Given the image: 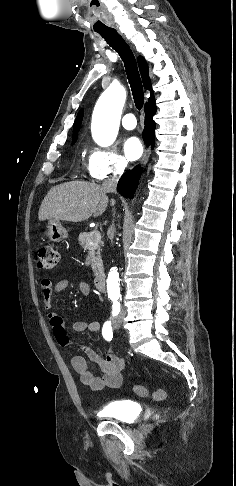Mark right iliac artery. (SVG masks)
Listing matches in <instances>:
<instances>
[{
    "label": "right iliac artery",
    "instance_id": "82829eb1",
    "mask_svg": "<svg viewBox=\"0 0 236 486\" xmlns=\"http://www.w3.org/2000/svg\"><path fill=\"white\" fill-rule=\"evenodd\" d=\"M120 306L117 302H114L113 304V311L112 315L116 316L119 313ZM102 335L107 341H111L113 338V331H112V325L111 321H106L103 325L102 328Z\"/></svg>",
    "mask_w": 236,
    "mask_h": 486
}]
</instances>
